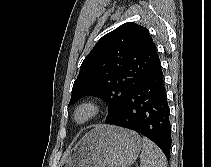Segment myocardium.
Instances as JSON below:
<instances>
[{
  "label": "myocardium",
  "mask_w": 211,
  "mask_h": 167,
  "mask_svg": "<svg viewBox=\"0 0 211 167\" xmlns=\"http://www.w3.org/2000/svg\"><path fill=\"white\" fill-rule=\"evenodd\" d=\"M101 112V105L97 100L87 99L80 102L73 111V120L77 124H86Z\"/></svg>",
  "instance_id": "1"
}]
</instances>
